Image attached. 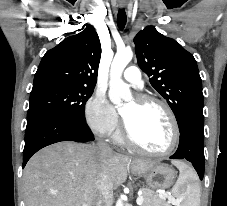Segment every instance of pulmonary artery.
Returning <instances> with one entry per match:
<instances>
[{
  "mask_svg": "<svg viewBox=\"0 0 227 206\" xmlns=\"http://www.w3.org/2000/svg\"><path fill=\"white\" fill-rule=\"evenodd\" d=\"M123 78L125 81L133 85L138 89L143 88V81L141 77V72L136 66H129L123 73Z\"/></svg>",
  "mask_w": 227,
  "mask_h": 206,
  "instance_id": "e3ab8cb5",
  "label": "pulmonary artery"
}]
</instances>
